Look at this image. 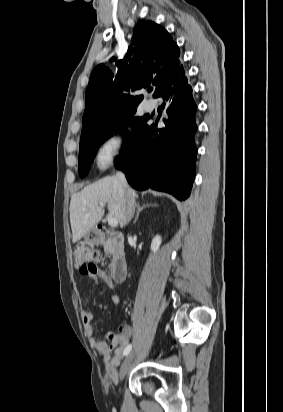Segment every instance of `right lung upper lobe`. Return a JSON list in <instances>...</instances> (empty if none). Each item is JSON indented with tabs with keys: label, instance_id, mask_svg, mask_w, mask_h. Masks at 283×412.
<instances>
[{
	"label": "right lung upper lobe",
	"instance_id": "right-lung-upper-lobe-1",
	"mask_svg": "<svg viewBox=\"0 0 283 412\" xmlns=\"http://www.w3.org/2000/svg\"><path fill=\"white\" fill-rule=\"evenodd\" d=\"M131 43L134 47L130 46L124 59L116 62L119 70L115 80L104 64L93 70L80 139L115 127L137 109L143 95L131 96L130 92L154 84V97H158L165 87L181 84L187 78L179 60V47L158 24L139 21Z\"/></svg>",
	"mask_w": 283,
	"mask_h": 412
}]
</instances>
